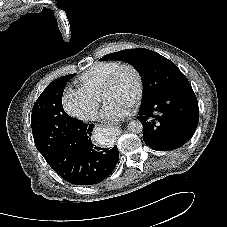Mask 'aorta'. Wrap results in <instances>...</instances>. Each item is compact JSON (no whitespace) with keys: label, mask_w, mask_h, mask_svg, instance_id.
Wrapping results in <instances>:
<instances>
[{"label":"aorta","mask_w":227,"mask_h":227,"mask_svg":"<svg viewBox=\"0 0 227 227\" xmlns=\"http://www.w3.org/2000/svg\"><path fill=\"white\" fill-rule=\"evenodd\" d=\"M128 131L133 134H139L143 131V125L139 120H132L128 123Z\"/></svg>","instance_id":"obj_1"}]
</instances>
